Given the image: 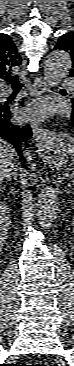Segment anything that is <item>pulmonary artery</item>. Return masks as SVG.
I'll use <instances>...</instances> for the list:
<instances>
[{"mask_svg":"<svg viewBox=\"0 0 74 366\" xmlns=\"http://www.w3.org/2000/svg\"><path fill=\"white\" fill-rule=\"evenodd\" d=\"M62 86L63 87H67V88H69V87H72L73 86V83H72V81L71 80H69V79H63L62 80ZM9 93V92H8Z\"/></svg>","mask_w":74,"mask_h":366,"instance_id":"e3ab8cb5","label":"pulmonary artery"}]
</instances>
